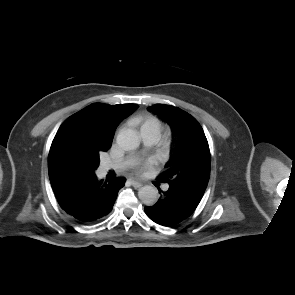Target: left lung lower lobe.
<instances>
[{
  "mask_svg": "<svg viewBox=\"0 0 295 295\" xmlns=\"http://www.w3.org/2000/svg\"><path fill=\"white\" fill-rule=\"evenodd\" d=\"M204 192L199 188L186 189L176 184H169L168 190L163 192L158 202L153 206L145 207V212L159 225H176L195 211Z\"/></svg>",
  "mask_w": 295,
  "mask_h": 295,
  "instance_id": "1",
  "label": "left lung lower lobe"
}]
</instances>
